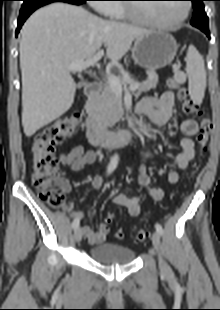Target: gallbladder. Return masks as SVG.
Segmentation results:
<instances>
[{"instance_id":"bac80fb5","label":"gallbladder","mask_w":220,"mask_h":310,"mask_svg":"<svg viewBox=\"0 0 220 310\" xmlns=\"http://www.w3.org/2000/svg\"><path fill=\"white\" fill-rule=\"evenodd\" d=\"M82 86H83V83H82V82H80V83L77 84V87H78V88H81Z\"/></svg>"}]
</instances>
